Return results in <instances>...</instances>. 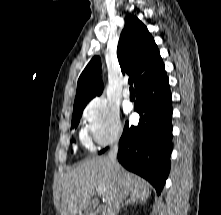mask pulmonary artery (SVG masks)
I'll return each instance as SVG.
<instances>
[{
    "label": "pulmonary artery",
    "mask_w": 221,
    "mask_h": 215,
    "mask_svg": "<svg viewBox=\"0 0 221 215\" xmlns=\"http://www.w3.org/2000/svg\"><path fill=\"white\" fill-rule=\"evenodd\" d=\"M123 96H124L125 98H129V97H130V91H129L128 88H124V90H123Z\"/></svg>",
    "instance_id": "obj_1"
}]
</instances>
